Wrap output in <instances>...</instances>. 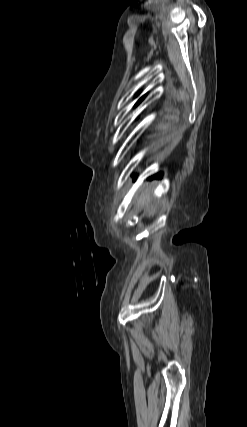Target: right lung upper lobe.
I'll return each instance as SVG.
<instances>
[{
	"mask_svg": "<svg viewBox=\"0 0 247 427\" xmlns=\"http://www.w3.org/2000/svg\"><path fill=\"white\" fill-rule=\"evenodd\" d=\"M144 98V96L138 101V103Z\"/></svg>",
	"mask_w": 247,
	"mask_h": 427,
	"instance_id": "cb5924a9",
	"label": "right lung upper lobe"
}]
</instances>
